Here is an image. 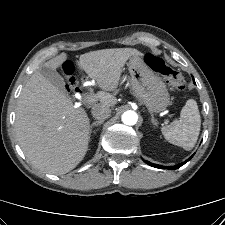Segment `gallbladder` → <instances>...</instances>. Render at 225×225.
Here are the masks:
<instances>
[{
  "label": "gallbladder",
  "mask_w": 225,
  "mask_h": 225,
  "mask_svg": "<svg viewBox=\"0 0 225 225\" xmlns=\"http://www.w3.org/2000/svg\"><path fill=\"white\" fill-rule=\"evenodd\" d=\"M39 72L43 77H45L49 82H51L55 87L64 91V79L62 76L54 69L42 66Z\"/></svg>",
  "instance_id": "1"
}]
</instances>
